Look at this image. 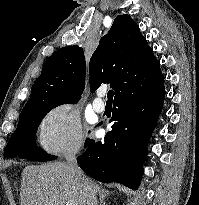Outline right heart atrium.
Returning a JSON list of instances; mask_svg holds the SVG:
<instances>
[{
    "label": "right heart atrium",
    "mask_w": 199,
    "mask_h": 205,
    "mask_svg": "<svg viewBox=\"0 0 199 205\" xmlns=\"http://www.w3.org/2000/svg\"><path fill=\"white\" fill-rule=\"evenodd\" d=\"M39 140L43 149L50 154L77 153L84 140L77 110L69 103H61L49 109L39 126Z\"/></svg>",
    "instance_id": "1"
}]
</instances>
